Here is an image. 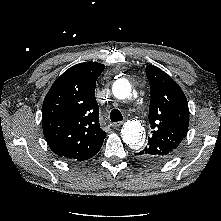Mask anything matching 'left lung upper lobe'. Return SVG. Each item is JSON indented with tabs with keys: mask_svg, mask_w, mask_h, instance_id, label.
<instances>
[{
	"mask_svg": "<svg viewBox=\"0 0 221 221\" xmlns=\"http://www.w3.org/2000/svg\"><path fill=\"white\" fill-rule=\"evenodd\" d=\"M146 75L151 92L148 117L153 130L148 145L137 155L148 163H162L187 135L188 102L180 86L160 68L147 65Z\"/></svg>",
	"mask_w": 221,
	"mask_h": 221,
	"instance_id": "5c2ea615",
	"label": "left lung upper lobe"
}]
</instances>
